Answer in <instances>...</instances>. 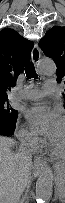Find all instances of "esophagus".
Returning a JSON list of instances; mask_svg holds the SVG:
<instances>
[{
  "mask_svg": "<svg viewBox=\"0 0 65 203\" xmlns=\"http://www.w3.org/2000/svg\"><path fill=\"white\" fill-rule=\"evenodd\" d=\"M32 61L37 64L40 60V50L37 46V44H35L33 50H32ZM45 165V161L39 157H36L34 160V170L40 171L43 166Z\"/></svg>",
  "mask_w": 65,
  "mask_h": 203,
  "instance_id": "esophagus-1",
  "label": "esophagus"
}]
</instances>
